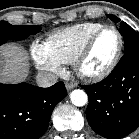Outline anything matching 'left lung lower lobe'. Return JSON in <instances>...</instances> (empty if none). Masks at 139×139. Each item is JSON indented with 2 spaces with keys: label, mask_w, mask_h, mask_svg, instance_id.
Listing matches in <instances>:
<instances>
[{
  "label": "left lung lower lobe",
  "mask_w": 139,
  "mask_h": 139,
  "mask_svg": "<svg viewBox=\"0 0 139 139\" xmlns=\"http://www.w3.org/2000/svg\"><path fill=\"white\" fill-rule=\"evenodd\" d=\"M88 94L86 116L99 135L118 139L139 126V48L124 53L109 76L82 86Z\"/></svg>",
  "instance_id": "left-lung-lower-lobe-1"
}]
</instances>
